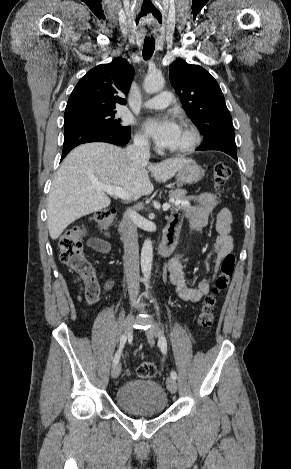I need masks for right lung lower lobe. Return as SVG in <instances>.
Instances as JSON below:
<instances>
[{
  "instance_id": "98d812e1",
  "label": "right lung lower lobe",
  "mask_w": 291,
  "mask_h": 469,
  "mask_svg": "<svg viewBox=\"0 0 291 469\" xmlns=\"http://www.w3.org/2000/svg\"><path fill=\"white\" fill-rule=\"evenodd\" d=\"M130 140V129H107L91 126H76L65 129L61 160L76 146L87 142H107L125 145Z\"/></svg>"
}]
</instances>
